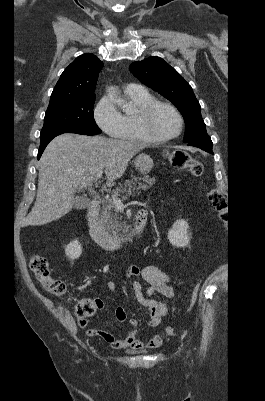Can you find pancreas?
<instances>
[{"label": "pancreas", "instance_id": "obj_1", "mask_svg": "<svg viewBox=\"0 0 265 401\" xmlns=\"http://www.w3.org/2000/svg\"><path fill=\"white\" fill-rule=\"evenodd\" d=\"M143 180V182H140ZM155 182V176H148V174H144V176H135L134 180H125L123 184H118L116 188H114L110 198H105V201H102V213H101V221L107 229L108 233H111L112 237H116V239H121L123 235H125L126 231H128V225H124L122 223V219L119 215V211H116V207L113 203V196H121L126 192V196L129 194H135L139 188L142 190H147L150 186H153ZM138 184V186H136ZM129 186V188H127ZM121 233V235H120Z\"/></svg>", "mask_w": 265, "mask_h": 401}]
</instances>
